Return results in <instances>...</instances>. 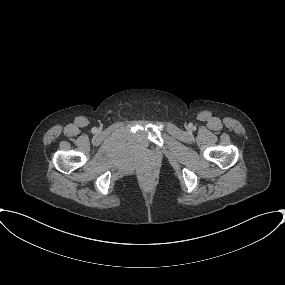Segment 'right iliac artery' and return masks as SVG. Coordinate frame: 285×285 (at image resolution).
Instances as JSON below:
<instances>
[{"instance_id":"obj_1","label":"right iliac artery","mask_w":285,"mask_h":285,"mask_svg":"<svg viewBox=\"0 0 285 285\" xmlns=\"http://www.w3.org/2000/svg\"><path fill=\"white\" fill-rule=\"evenodd\" d=\"M92 131H93V132H96V131H97V129H96V128H93V129H92Z\"/></svg>"}]
</instances>
